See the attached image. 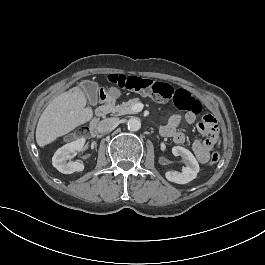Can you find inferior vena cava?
Instances as JSON below:
<instances>
[{"label":"inferior vena cava","instance_id":"1","mask_svg":"<svg viewBox=\"0 0 265 265\" xmlns=\"http://www.w3.org/2000/svg\"><path fill=\"white\" fill-rule=\"evenodd\" d=\"M119 119L118 118H106L98 124V132L99 133H105L109 130H111L113 127H115L118 124Z\"/></svg>","mask_w":265,"mask_h":265}]
</instances>
